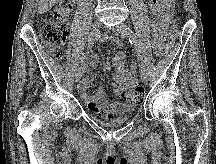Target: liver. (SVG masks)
<instances>
[{"instance_id": "obj_1", "label": "liver", "mask_w": 216, "mask_h": 164, "mask_svg": "<svg viewBox=\"0 0 216 164\" xmlns=\"http://www.w3.org/2000/svg\"><path fill=\"white\" fill-rule=\"evenodd\" d=\"M59 0H39L38 11L40 14L45 13L52 8Z\"/></svg>"}]
</instances>
